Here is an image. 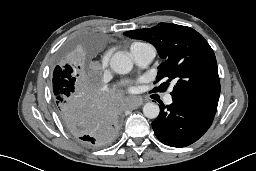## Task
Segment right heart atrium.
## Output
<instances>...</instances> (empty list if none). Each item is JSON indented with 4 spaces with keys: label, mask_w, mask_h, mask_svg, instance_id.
I'll return each mask as SVG.
<instances>
[{
    "label": "right heart atrium",
    "mask_w": 256,
    "mask_h": 171,
    "mask_svg": "<svg viewBox=\"0 0 256 171\" xmlns=\"http://www.w3.org/2000/svg\"><path fill=\"white\" fill-rule=\"evenodd\" d=\"M108 66V57L104 56L97 64V68L101 71H104Z\"/></svg>",
    "instance_id": "right-heart-atrium-1"
}]
</instances>
